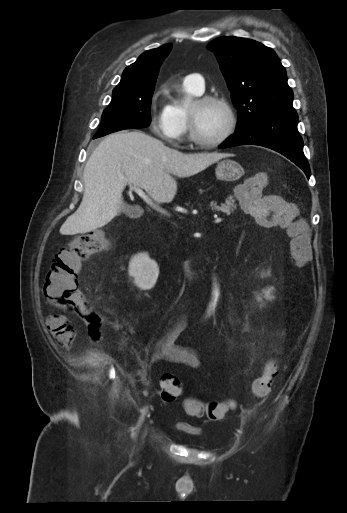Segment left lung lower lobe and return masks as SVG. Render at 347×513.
Instances as JSON below:
<instances>
[{"label": "left lung lower lobe", "instance_id": "left-lung-lower-lobe-1", "mask_svg": "<svg viewBox=\"0 0 347 513\" xmlns=\"http://www.w3.org/2000/svg\"><path fill=\"white\" fill-rule=\"evenodd\" d=\"M298 116L272 114L254 121L236 132L220 148L238 145H259L277 151L294 162L310 177V168L303 153V141L297 130Z\"/></svg>", "mask_w": 347, "mask_h": 513}]
</instances>
